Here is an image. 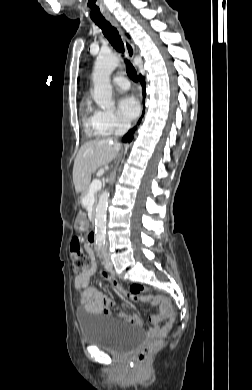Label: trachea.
<instances>
[{
  "instance_id": "3493384b",
  "label": "trachea",
  "mask_w": 252,
  "mask_h": 390,
  "mask_svg": "<svg viewBox=\"0 0 252 390\" xmlns=\"http://www.w3.org/2000/svg\"><path fill=\"white\" fill-rule=\"evenodd\" d=\"M93 21L95 22L96 25H98V27L101 28L104 36L108 39V41L110 42V44L118 51V52H121V53H124V44L121 40V37L117 31L116 28H114L110 22H108L105 18H101V19H93ZM125 62L127 63V74L128 76L130 77V79H132L134 82H137L138 81V76H137V73H136V70L135 68L132 66V64L130 63V61H128L127 59L125 60Z\"/></svg>"
}]
</instances>
